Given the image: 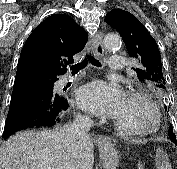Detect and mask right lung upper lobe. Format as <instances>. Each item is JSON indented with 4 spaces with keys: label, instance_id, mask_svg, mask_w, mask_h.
<instances>
[{
    "label": "right lung upper lobe",
    "instance_id": "right-lung-upper-lobe-1",
    "mask_svg": "<svg viewBox=\"0 0 177 169\" xmlns=\"http://www.w3.org/2000/svg\"><path fill=\"white\" fill-rule=\"evenodd\" d=\"M87 42V33L73 18L54 14L30 34L22 49L17 71L64 74L73 63V55Z\"/></svg>",
    "mask_w": 177,
    "mask_h": 169
}]
</instances>
